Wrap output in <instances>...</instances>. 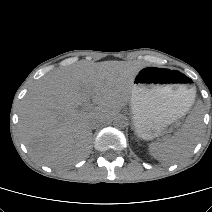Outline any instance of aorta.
Masks as SVG:
<instances>
[{
  "mask_svg": "<svg viewBox=\"0 0 212 212\" xmlns=\"http://www.w3.org/2000/svg\"><path fill=\"white\" fill-rule=\"evenodd\" d=\"M113 125L116 128L123 129L128 125L127 118L123 115H118L114 118Z\"/></svg>",
  "mask_w": 212,
  "mask_h": 212,
  "instance_id": "obj_1",
  "label": "aorta"
}]
</instances>
